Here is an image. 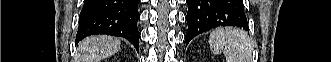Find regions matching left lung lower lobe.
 <instances>
[{
  "label": "left lung lower lobe",
  "instance_id": "left-lung-lower-lobe-1",
  "mask_svg": "<svg viewBox=\"0 0 331 62\" xmlns=\"http://www.w3.org/2000/svg\"><path fill=\"white\" fill-rule=\"evenodd\" d=\"M186 45L196 35L220 26H235L248 30L243 0H186Z\"/></svg>",
  "mask_w": 331,
  "mask_h": 62
}]
</instances>
